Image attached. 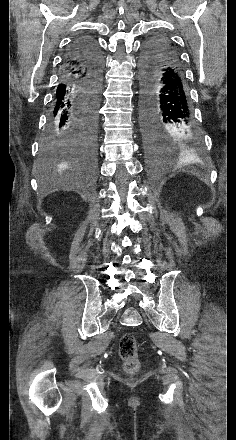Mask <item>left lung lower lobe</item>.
Instances as JSON below:
<instances>
[{
    "instance_id": "1",
    "label": "left lung lower lobe",
    "mask_w": 236,
    "mask_h": 440,
    "mask_svg": "<svg viewBox=\"0 0 236 440\" xmlns=\"http://www.w3.org/2000/svg\"><path fill=\"white\" fill-rule=\"evenodd\" d=\"M141 69V130L148 151L154 155L170 144L198 143L201 135L178 55L165 53Z\"/></svg>"
}]
</instances>
